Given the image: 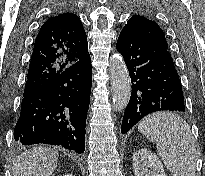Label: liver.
Segmentation results:
<instances>
[{
	"label": "liver",
	"instance_id": "liver-1",
	"mask_svg": "<svg viewBox=\"0 0 205 176\" xmlns=\"http://www.w3.org/2000/svg\"><path fill=\"white\" fill-rule=\"evenodd\" d=\"M58 151L34 147L13 160V176H50L57 167Z\"/></svg>",
	"mask_w": 205,
	"mask_h": 176
}]
</instances>
